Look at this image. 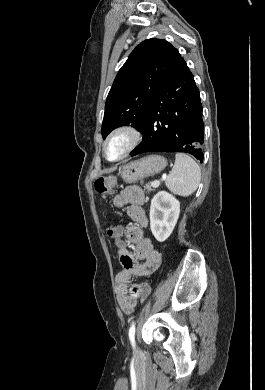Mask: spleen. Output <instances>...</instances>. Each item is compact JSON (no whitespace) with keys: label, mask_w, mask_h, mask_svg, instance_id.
<instances>
[{"label":"spleen","mask_w":265,"mask_h":390,"mask_svg":"<svg viewBox=\"0 0 265 390\" xmlns=\"http://www.w3.org/2000/svg\"><path fill=\"white\" fill-rule=\"evenodd\" d=\"M200 179L201 170L198 164L190 156L178 153L165 184L173 193L186 197L196 191Z\"/></svg>","instance_id":"1"}]
</instances>
